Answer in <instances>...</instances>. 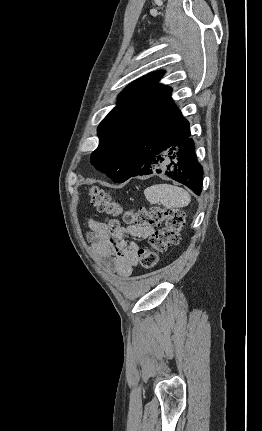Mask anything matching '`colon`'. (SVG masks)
<instances>
[{"instance_id": "obj_1", "label": "colon", "mask_w": 262, "mask_h": 431, "mask_svg": "<svg viewBox=\"0 0 262 431\" xmlns=\"http://www.w3.org/2000/svg\"><path fill=\"white\" fill-rule=\"evenodd\" d=\"M88 196L98 212L122 216L123 221L131 226L158 228L151 237L150 246L138 252L141 267L152 269L158 262L159 254L178 243L184 222V213L181 210L159 207L125 210L120 203L97 186L89 188Z\"/></svg>"}]
</instances>
